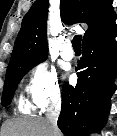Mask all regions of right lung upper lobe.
I'll return each instance as SVG.
<instances>
[{"label": "right lung upper lobe", "instance_id": "1", "mask_svg": "<svg viewBox=\"0 0 117 136\" xmlns=\"http://www.w3.org/2000/svg\"><path fill=\"white\" fill-rule=\"evenodd\" d=\"M48 0H36L22 20L9 65L44 58L47 44ZM60 16L67 24L86 23L83 41L115 24L112 0H60Z\"/></svg>", "mask_w": 117, "mask_h": 136}]
</instances>
